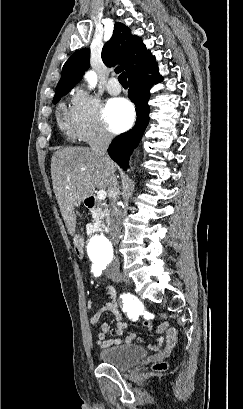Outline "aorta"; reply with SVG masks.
<instances>
[{
    "label": "aorta",
    "instance_id": "762f6f07",
    "mask_svg": "<svg viewBox=\"0 0 243 409\" xmlns=\"http://www.w3.org/2000/svg\"><path fill=\"white\" fill-rule=\"evenodd\" d=\"M85 79L88 81L90 88H94L97 84V75L94 71H88L85 74ZM109 248V241L103 234H94L88 243V253L92 259H102Z\"/></svg>",
    "mask_w": 243,
    "mask_h": 409
}]
</instances>
